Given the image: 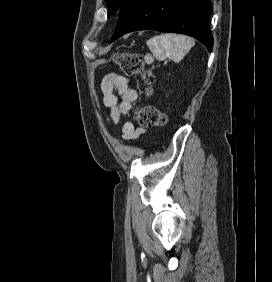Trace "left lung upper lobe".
I'll return each instance as SVG.
<instances>
[{
  "label": "left lung upper lobe",
  "mask_w": 272,
  "mask_h": 282,
  "mask_svg": "<svg viewBox=\"0 0 272 282\" xmlns=\"http://www.w3.org/2000/svg\"><path fill=\"white\" fill-rule=\"evenodd\" d=\"M108 5V17L113 15L116 11H119L125 0H105Z\"/></svg>",
  "instance_id": "1"
}]
</instances>
